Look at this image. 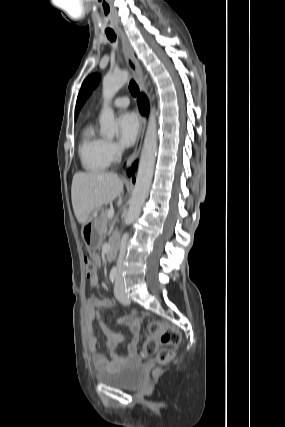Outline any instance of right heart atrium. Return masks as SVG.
<instances>
[{
  "mask_svg": "<svg viewBox=\"0 0 285 427\" xmlns=\"http://www.w3.org/2000/svg\"><path fill=\"white\" fill-rule=\"evenodd\" d=\"M107 154L111 161H116L121 154L120 147L112 140H108L106 143Z\"/></svg>",
  "mask_w": 285,
  "mask_h": 427,
  "instance_id": "obj_1",
  "label": "right heart atrium"
}]
</instances>
